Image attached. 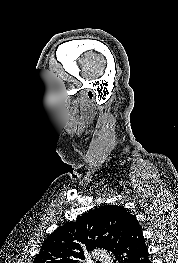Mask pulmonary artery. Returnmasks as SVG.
I'll return each mask as SVG.
<instances>
[{"label":"pulmonary artery","instance_id":"pulmonary-artery-1","mask_svg":"<svg viewBox=\"0 0 178 263\" xmlns=\"http://www.w3.org/2000/svg\"><path fill=\"white\" fill-rule=\"evenodd\" d=\"M94 257L102 263H112L109 257L99 249L94 251Z\"/></svg>","mask_w":178,"mask_h":263}]
</instances>
